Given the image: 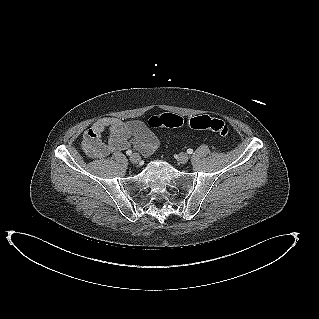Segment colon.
I'll list each match as a JSON object with an SVG mask.
<instances>
[{
  "instance_id": "colon-1",
  "label": "colon",
  "mask_w": 319,
  "mask_h": 319,
  "mask_svg": "<svg viewBox=\"0 0 319 319\" xmlns=\"http://www.w3.org/2000/svg\"><path fill=\"white\" fill-rule=\"evenodd\" d=\"M183 118L173 113H162L152 116L148 120L151 128H176L182 126ZM188 125L192 129H206L217 133L223 138L229 136L230 130L228 125L221 119L210 117L208 115H200L188 120Z\"/></svg>"
}]
</instances>
